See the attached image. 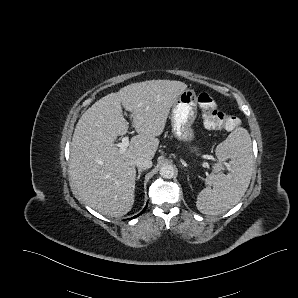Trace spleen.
Segmentation results:
<instances>
[{
    "label": "spleen",
    "mask_w": 298,
    "mask_h": 298,
    "mask_svg": "<svg viewBox=\"0 0 298 298\" xmlns=\"http://www.w3.org/2000/svg\"><path fill=\"white\" fill-rule=\"evenodd\" d=\"M219 161L231 160L227 174L219 172L221 162L206 179L207 187L197 196L196 207L206 215L221 214L236 205L245 194L253 171V149L249 132L238 127L215 149Z\"/></svg>",
    "instance_id": "3e777b00"
}]
</instances>
